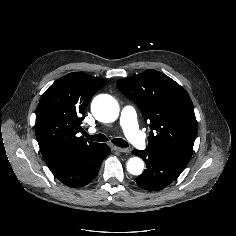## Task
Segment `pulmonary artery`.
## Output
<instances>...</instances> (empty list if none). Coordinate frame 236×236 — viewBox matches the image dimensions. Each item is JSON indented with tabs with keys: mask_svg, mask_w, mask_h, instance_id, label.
<instances>
[{
	"mask_svg": "<svg viewBox=\"0 0 236 236\" xmlns=\"http://www.w3.org/2000/svg\"><path fill=\"white\" fill-rule=\"evenodd\" d=\"M120 125L129 141L138 149H145L147 144L143 133L138 128L137 116L133 107L125 106L120 115ZM95 130L92 129L91 132Z\"/></svg>",
	"mask_w": 236,
	"mask_h": 236,
	"instance_id": "e3ab8cb5",
	"label": "pulmonary artery"
}]
</instances>
